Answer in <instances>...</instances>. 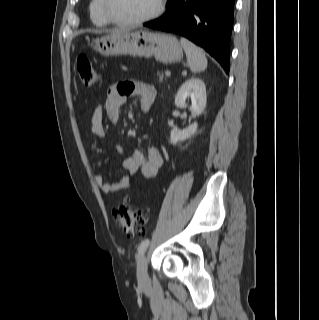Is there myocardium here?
Masks as SVG:
<instances>
[{
	"label": "myocardium",
	"instance_id": "obj_1",
	"mask_svg": "<svg viewBox=\"0 0 319 320\" xmlns=\"http://www.w3.org/2000/svg\"><path fill=\"white\" fill-rule=\"evenodd\" d=\"M165 9V0H158V4L156 9L149 15L135 18V19H117L115 18L112 13L109 10V0H102V11L105 16V18L112 24L115 25H136V24H142L149 22L151 20H154L162 15Z\"/></svg>",
	"mask_w": 319,
	"mask_h": 320
}]
</instances>
